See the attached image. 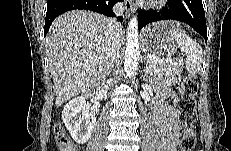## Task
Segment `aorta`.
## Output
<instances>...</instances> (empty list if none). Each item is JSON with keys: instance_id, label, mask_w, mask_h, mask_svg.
<instances>
[{"instance_id": "aorta-1", "label": "aorta", "mask_w": 231, "mask_h": 151, "mask_svg": "<svg viewBox=\"0 0 231 151\" xmlns=\"http://www.w3.org/2000/svg\"><path fill=\"white\" fill-rule=\"evenodd\" d=\"M140 56L138 40V19L133 16L127 27L124 70L128 77L134 75Z\"/></svg>"}]
</instances>
